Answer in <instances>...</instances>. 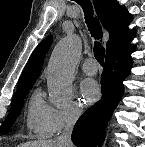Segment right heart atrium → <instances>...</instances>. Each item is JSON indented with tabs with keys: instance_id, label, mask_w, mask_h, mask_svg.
<instances>
[{
	"instance_id": "1",
	"label": "right heart atrium",
	"mask_w": 145,
	"mask_h": 147,
	"mask_svg": "<svg viewBox=\"0 0 145 147\" xmlns=\"http://www.w3.org/2000/svg\"><path fill=\"white\" fill-rule=\"evenodd\" d=\"M81 115L82 106L77 100H70L63 106H52L50 113L52 133H60L66 128L74 125Z\"/></svg>"
}]
</instances>
